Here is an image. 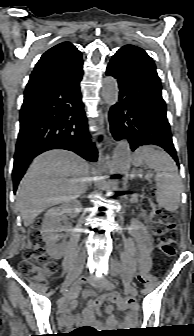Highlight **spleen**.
<instances>
[{
    "mask_svg": "<svg viewBox=\"0 0 194 336\" xmlns=\"http://www.w3.org/2000/svg\"><path fill=\"white\" fill-rule=\"evenodd\" d=\"M144 163L156 172L157 202L167 211H176L180 203L182 183L175 162L164 151L152 146H142L135 152L133 164L141 166Z\"/></svg>",
    "mask_w": 194,
    "mask_h": 336,
    "instance_id": "1",
    "label": "spleen"
}]
</instances>
